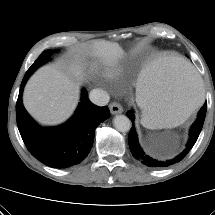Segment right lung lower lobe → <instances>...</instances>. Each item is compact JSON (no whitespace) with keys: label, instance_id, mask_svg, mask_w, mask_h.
Here are the masks:
<instances>
[{"label":"right lung lower lobe","instance_id":"right-lung-lower-lobe-1","mask_svg":"<svg viewBox=\"0 0 215 215\" xmlns=\"http://www.w3.org/2000/svg\"><path fill=\"white\" fill-rule=\"evenodd\" d=\"M32 73L26 72L16 103V119L21 137L30 153L52 168H67L83 161L91 150L96 127L110 116L107 106L88 100L83 89L74 115L64 124L42 128L29 116L22 103V92Z\"/></svg>","mask_w":215,"mask_h":215}]
</instances>
